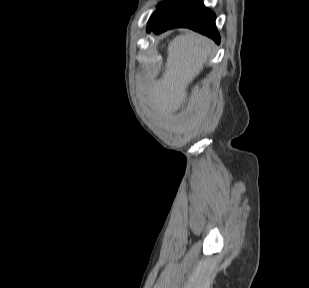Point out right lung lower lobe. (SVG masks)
Masks as SVG:
<instances>
[{
	"label": "right lung lower lobe",
	"mask_w": 309,
	"mask_h": 288,
	"mask_svg": "<svg viewBox=\"0 0 309 288\" xmlns=\"http://www.w3.org/2000/svg\"><path fill=\"white\" fill-rule=\"evenodd\" d=\"M176 27L193 29L220 43L215 15L204 6L202 0H184L179 7L167 13L157 23L148 26L147 31L159 34Z\"/></svg>",
	"instance_id": "1"
}]
</instances>
